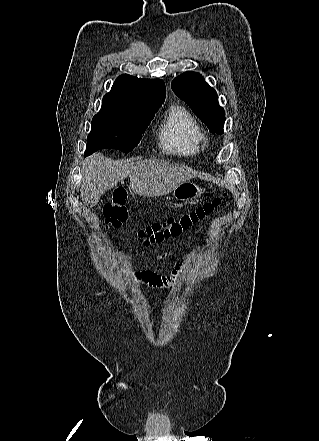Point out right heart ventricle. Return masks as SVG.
<instances>
[{
	"label": "right heart ventricle",
	"mask_w": 319,
	"mask_h": 441,
	"mask_svg": "<svg viewBox=\"0 0 319 441\" xmlns=\"http://www.w3.org/2000/svg\"><path fill=\"white\" fill-rule=\"evenodd\" d=\"M161 147L171 153L195 154L206 138L198 122L183 107H172L166 114L158 133Z\"/></svg>",
	"instance_id": "1"
}]
</instances>
